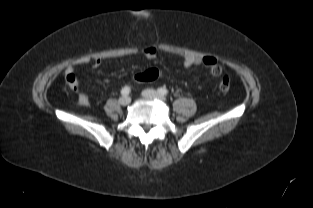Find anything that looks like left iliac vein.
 Here are the masks:
<instances>
[{
  "instance_id": "obj_1",
  "label": "left iliac vein",
  "mask_w": 313,
  "mask_h": 208,
  "mask_svg": "<svg viewBox=\"0 0 313 208\" xmlns=\"http://www.w3.org/2000/svg\"><path fill=\"white\" fill-rule=\"evenodd\" d=\"M142 95L144 98H147V99H157L159 101H162V102H165L166 101V98L157 93L155 90L153 89H146L142 92Z\"/></svg>"
}]
</instances>
